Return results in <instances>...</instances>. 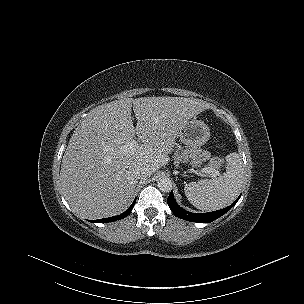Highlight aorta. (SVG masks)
I'll return each mask as SVG.
<instances>
[{
  "instance_id": "1",
  "label": "aorta",
  "mask_w": 304,
  "mask_h": 304,
  "mask_svg": "<svg viewBox=\"0 0 304 304\" xmlns=\"http://www.w3.org/2000/svg\"><path fill=\"white\" fill-rule=\"evenodd\" d=\"M157 186L162 192H170L172 190V181L166 176H162L157 181Z\"/></svg>"
}]
</instances>
